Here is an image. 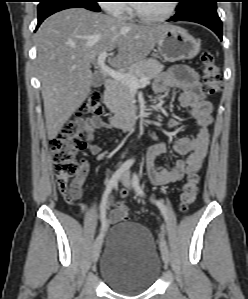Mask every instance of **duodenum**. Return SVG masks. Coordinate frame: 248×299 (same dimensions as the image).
I'll return each mask as SVG.
<instances>
[{
  "instance_id": "410a0bca",
  "label": "duodenum",
  "mask_w": 248,
  "mask_h": 299,
  "mask_svg": "<svg viewBox=\"0 0 248 299\" xmlns=\"http://www.w3.org/2000/svg\"><path fill=\"white\" fill-rule=\"evenodd\" d=\"M114 81L112 79H107L104 84L105 95L110 97L114 91ZM141 109L139 107L133 109L128 113L116 114L110 113L108 115L109 122L115 127L130 128L132 127L140 118Z\"/></svg>"
}]
</instances>
